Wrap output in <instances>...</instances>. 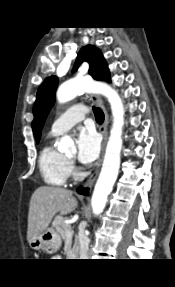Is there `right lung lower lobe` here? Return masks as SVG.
Masks as SVG:
<instances>
[{"mask_svg":"<svg viewBox=\"0 0 175 287\" xmlns=\"http://www.w3.org/2000/svg\"><path fill=\"white\" fill-rule=\"evenodd\" d=\"M78 193H80V194H83V195H85V194H87V189H83V188H78Z\"/></svg>","mask_w":175,"mask_h":287,"instance_id":"1","label":"right lung lower lobe"}]
</instances>
